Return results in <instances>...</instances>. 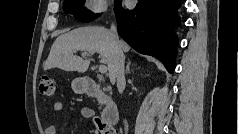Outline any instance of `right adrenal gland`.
<instances>
[{
  "instance_id": "obj_1",
  "label": "right adrenal gland",
  "mask_w": 239,
  "mask_h": 134,
  "mask_svg": "<svg viewBox=\"0 0 239 134\" xmlns=\"http://www.w3.org/2000/svg\"><path fill=\"white\" fill-rule=\"evenodd\" d=\"M130 65H131V62L128 61L127 66H126V74L130 73Z\"/></svg>"
}]
</instances>
